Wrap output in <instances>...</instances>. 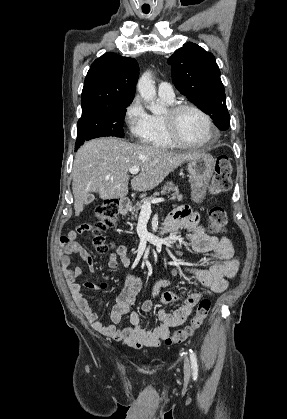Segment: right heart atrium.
I'll use <instances>...</instances> for the list:
<instances>
[{"label":"right heart atrium","instance_id":"right-heart-atrium-1","mask_svg":"<svg viewBox=\"0 0 287 419\" xmlns=\"http://www.w3.org/2000/svg\"><path fill=\"white\" fill-rule=\"evenodd\" d=\"M124 121L132 137L142 138L148 131L150 114L139 97H134L124 114Z\"/></svg>","mask_w":287,"mask_h":419}]
</instances>
